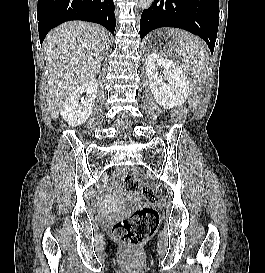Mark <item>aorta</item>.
Masks as SVG:
<instances>
[{
	"instance_id": "aorta-1",
	"label": "aorta",
	"mask_w": 265,
	"mask_h": 273,
	"mask_svg": "<svg viewBox=\"0 0 265 273\" xmlns=\"http://www.w3.org/2000/svg\"><path fill=\"white\" fill-rule=\"evenodd\" d=\"M138 1V7L142 10L148 9L154 0H137Z\"/></svg>"
}]
</instances>
